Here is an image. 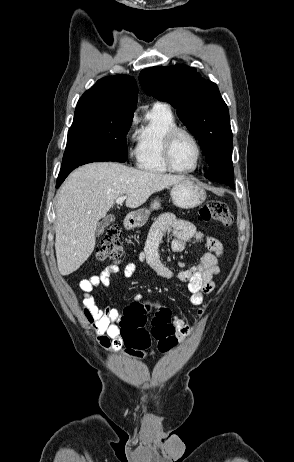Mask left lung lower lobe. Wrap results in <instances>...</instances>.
<instances>
[{
	"label": "left lung lower lobe",
	"instance_id": "left-lung-lower-lobe-1",
	"mask_svg": "<svg viewBox=\"0 0 294 462\" xmlns=\"http://www.w3.org/2000/svg\"><path fill=\"white\" fill-rule=\"evenodd\" d=\"M233 167L230 168H210L206 174V178L215 182L227 184L231 188H235Z\"/></svg>",
	"mask_w": 294,
	"mask_h": 462
}]
</instances>
